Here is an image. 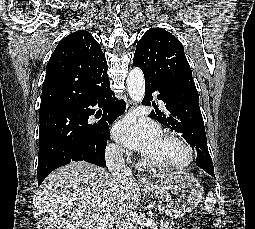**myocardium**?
Listing matches in <instances>:
<instances>
[{
    "mask_svg": "<svg viewBox=\"0 0 255 229\" xmlns=\"http://www.w3.org/2000/svg\"><path fill=\"white\" fill-rule=\"evenodd\" d=\"M163 138L169 139L177 144H179L186 152V157L183 161L179 163H167L162 161H156L151 158H148L145 156L143 158V161L146 165L150 167H154L160 170H167V171H173V170H181L186 167H188L194 160V150L191 144L184 139L182 136L175 134V133H165L163 135Z\"/></svg>",
    "mask_w": 255,
    "mask_h": 229,
    "instance_id": "f54148a6",
    "label": "myocardium"
}]
</instances>
